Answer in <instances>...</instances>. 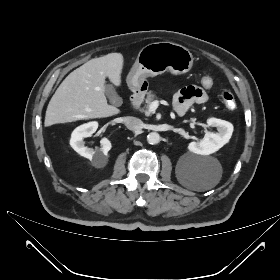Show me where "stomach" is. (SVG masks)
I'll return each instance as SVG.
<instances>
[{
  "label": "stomach",
  "instance_id": "obj_1",
  "mask_svg": "<svg viewBox=\"0 0 280 280\" xmlns=\"http://www.w3.org/2000/svg\"><path fill=\"white\" fill-rule=\"evenodd\" d=\"M193 56L182 45L172 42H155L144 46L127 76L128 87L132 91L145 90L148 77L164 72L180 75L190 71Z\"/></svg>",
  "mask_w": 280,
  "mask_h": 280
}]
</instances>
